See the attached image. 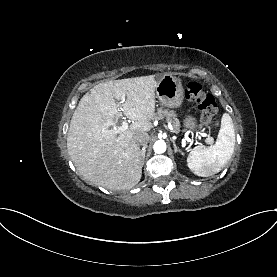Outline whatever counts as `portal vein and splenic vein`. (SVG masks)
I'll list each match as a JSON object with an SVG mask.
<instances>
[{
    "mask_svg": "<svg viewBox=\"0 0 277 277\" xmlns=\"http://www.w3.org/2000/svg\"><path fill=\"white\" fill-rule=\"evenodd\" d=\"M123 102H125V97H124V96L122 97L120 103H123ZM164 126H165L166 128H168V129L171 130V127L167 126L166 124H164ZM128 127H129V126H128L127 121L124 120V121L122 122L121 126H119V127H117V128L114 127L113 129H111V131L114 132L115 134H120V133L124 132L125 130H127ZM200 135H201L202 137H206L205 142H206L207 144H211V143L213 142V138H212L210 135H207L206 133H200Z\"/></svg>",
    "mask_w": 277,
    "mask_h": 277,
    "instance_id": "portal-vein-and-splenic-vein-1",
    "label": "portal vein and splenic vein"
}]
</instances>
